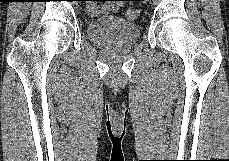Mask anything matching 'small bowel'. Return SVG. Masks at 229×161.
<instances>
[{"label":"small bowel","instance_id":"1","mask_svg":"<svg viewBox=\"0 0 229 161\" xmlns=\"http://www.w3.org/2000/svg\"><path fill=\"white\" fill-rule=\"evenodd\" d=\"M118 4H111V5H107V6H103L101 8H97L94 11L97 13H105L107 11H116L118 9Z\"/></svg>","mask_w":229,"mask_h":161}]
</instances>
